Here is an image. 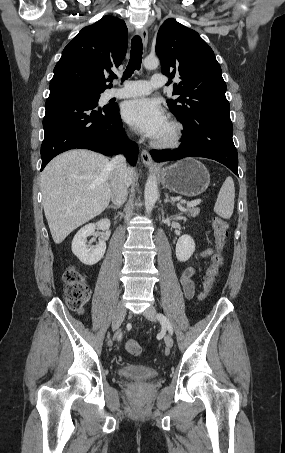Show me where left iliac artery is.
<instances>
[{
	"label": "left iliac artery",
	"instance_id": "1",
	"mask_svg": "<svg viewBox=\"0 0 285 453\" xmlns=\"http://www.w3.org/2000/svg\"><path fill=\"white\" fill-rule=\"evenodd\" d=\"M157 319L160 321V323L165 326L170 334H173V327L170 323V321L164 316L163 314L159 313L157 314Z\"/></svg>",
	"mask_w": 285,
	"mask_h": 453
}]
</instances>
